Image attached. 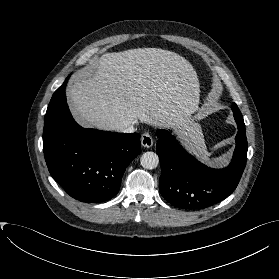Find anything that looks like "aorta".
<instances>
[{"label": "aorta", "mask_w": 279, "mask_h": 279, "mask_svg": "<svg viewBox=\"0 0 279 279\" xmlns=\"http://www.w3.org/2000/svg\"><path fill=\"white\" fill-rule=\"evenodd\" d=\"M140 164L145 169H154L159 164V157L154 152H145L140 158Z\"/></svg>", "instance_id": "obj_1"}]
</instances>
